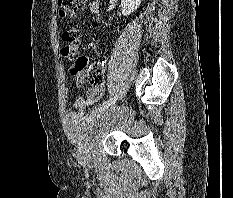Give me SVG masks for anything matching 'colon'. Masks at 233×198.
I'll list each match as a JSON object with an SVG mask.
<instances>
[{
  "label": "colon",
  "instance_id": "obj_1",
  "mask_svg": "<svg viewBox=\"0 0 233 198\" xmlns=\"http://www.w3.org/2000/svg\"><path fill=\"white\" fill-rule=\"evenodd\" d=\"M81 0H59L60 16L62 18L72 19L77 14L78 3ZM63 39L69 46H76L80 43V33L77 29L71 28L63 33ZM79 64H83L84 60L80 59ZM89 82L92 86H99L103 81V71L99 64H94L88 74Z\"/></svg>",
  "mask_w": 233,
  "mask_h": 198
}]
</instances>
